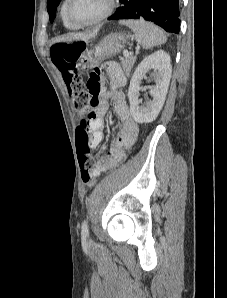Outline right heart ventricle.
<instances>
[{"instance_id":"right-heart-ventricle-1","label":"right heart ventricle","mask_w":227,"mask_h":298,"mask_svg":"<svg viewBox=\"0 0 227 298\" xmlns=\"http://www.w3.org/2000/svg\"><path fill=\"white\" fill-rule=\"evenodd\" d=\"M60 16H61V19H62V22L64 24V26L68 29H74L75 27L73 25H71L68 20L66 19V16H65V1L62 3L61 5V9H60Z\"/></svg>"}]
</instances>
